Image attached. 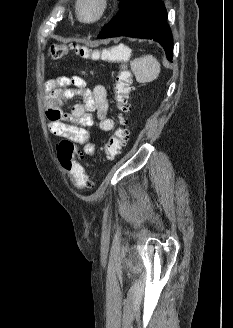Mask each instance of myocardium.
I'll return each mask as SVG.
<instances>
[{"instance_id": "1", "label": "myocardium", "mask_w": 233, "mask_h": 328, "mask_svg": "<svg viewBox=\"0 0 233 328\" xmlns=\"http://www.w3.org/2000/svg\"><path fill=\"white\" fill-rule=\"evenodd\" d=\"M85 0H76V14L80 22L84 24H95L99 22L107 13L109 8V0H97L98 10L90 18H85L83 15V3Z\"/></svg>"}]
</instances>
